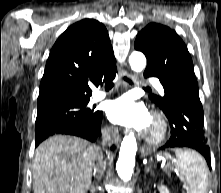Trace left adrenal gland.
Returning a JSON list of instances; mask_svg holds the SVG:
<instances>
[{"label": "left adrenal gland", "mask_w": 221, "mask_h": 193, "mask_svg": "<svg viewBox=\"0 0 221 193\" xmlns=\"http://www.w3.org/2000/svg\"><path fill=\"white\" fill-rule=\"evenodd\" d=\"M150 172V168L149 167H145V173Z\"/></svg>", "instance_id": "1"}]
</instances>
